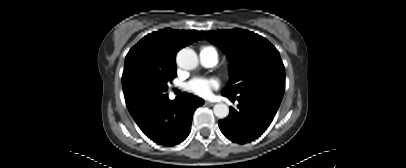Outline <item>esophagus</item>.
I'll use <instances>...</instances> for the list:
<instances>
[{
    "label": "esophagus",
    "instance_id": "esophagus-1",
    "mask_svg": "<svg viewBox=\"0 0 406 168\" xmlns=\"http://www.w3.org/2000/svg\"><path fill=\"white\" fill-rule=\"evenodd\" d=\"M205 104H206V105H209V106H213V105H214V102L205 101Z\"/></svg>",
    "mask_w": 406,
    "mask_h": 168
}]
</instances>
